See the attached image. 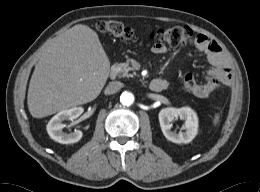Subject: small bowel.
Returning a JSON list of instances; mask_svg holds the SVG:
<instances>
[{"instance_id":"1","label":"small bowel","mask_w":260,"mask_h":192,"mask_svg":"<svg viewBox=\"0 0 260 192\" xmlns=\"http://www.w3.org/2000/svg\"><path fill=\"white\" fill-rule=\"evenodd\" d=\"M193 44L202 52L205 53L211 68L207 71L204 84H197L198 89L193 93L194 95L206 98L213 91L222 85L230 86L233 81L231 69L228 67L226 60L221 52L220 47L214 41L210 40L205 35H198ZM151 51L154 54H163L167 51L165 45L155 43ZM165 81L168 86V81Z\"/></svg>"}]
</instances>
